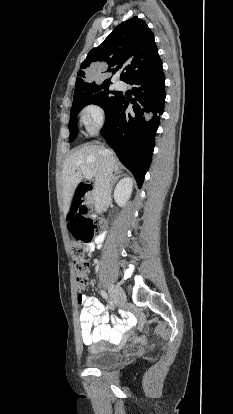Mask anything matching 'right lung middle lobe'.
Here are the masks:
<instances>
[{"mask_svg": "<svg viewBox=\"0 0 233 414\" xmlns=\"http://www.w3.org/2000/svg\"><path fill=\"white\" fill-rule=\"evenodd\" d=\"M110 84L111 83L100 84L92 89H89L73 97L69 121L70 142H72L78 135L76 117L79 111L82 110L84 106L88 104H97L101 106L106 112L120 98L121 95L109 89Z\"/></svg>", "mask_w": 233, "mask_h": 414, "instance_id": "1", "label": "right lung middle lobe"}]
</instances>
